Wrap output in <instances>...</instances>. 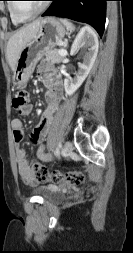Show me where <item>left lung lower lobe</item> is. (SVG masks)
I'll use <instances>...</instances> for the list:
<instances>
[{
    "label": "left lung lower lobe",
    "mask_w": 133,
    "mask_h": 253,
    "mask_svg": "<svg viewBox=\"0 0 133 253\" xmlns=\"http://www.w3.org/2000/svg\"><path fill=\"white\" fill-rule=\"evenodd\" d=\"M42 16H58L90 24L102 36L108 0H51Z\"/></svg>",
    "instance_id": "1"
}]
</instances>
